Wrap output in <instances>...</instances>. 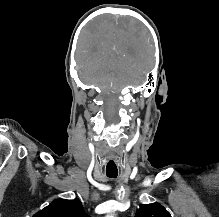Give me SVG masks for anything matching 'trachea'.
<instances>
[{
  "label": "trachea",
  "instance_id": "1",
  "mask_svg": "<svg viewBox=\"0 0 219 217\" xmlns=\"http://www.w3.org/2000/svg\"><path fill=\"white\" fill-rule=\"evenodd\" d=\"M106 175H107L109 178H116L117 175H118V172H106Z\"/></svg>",
  "mask_w": 219,
  "mask_h": 217
}]
</instances>
